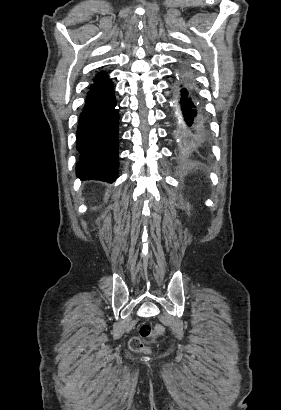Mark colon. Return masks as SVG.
<instances>
[{
	"mask_svg": "<svg viewBox=\"0 0 281 410\" xmlns=\"http://www.w3.org/2000/svg\"><path fill=\"white\" fill-rule=\"evenodd\" d=\"M165 328L161 324L153 326L144 324L140 327L138 335L133 336L129 341V348L134 353L147 352L145 342L151 338L160 337L164 334Z\"/></svg>",
	"mask_w": 281,
	"mask_h": 410,
	"instance_id": "1",
	"label": "colon"
}]
</instances>
